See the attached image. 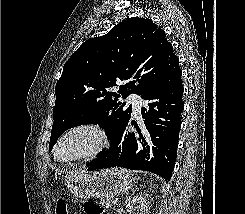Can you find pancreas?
I'll return each instance as SVG.
<instances>
[{"instance_id":"pancreas-1","label":"pancreas","mask_w":245,"mask_h":214,"mask_svg":"<svg viewBox=\"0 0 245 214\" xmlns=\"http://www.w3.org/2000/svg\"><path fill=\"white\" fill-rule=\"evenodd\" d=\"M99 204L106 207L112 206V200L110 198H101Z\"/></svg>"}]
</instances>
